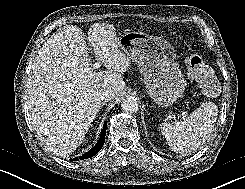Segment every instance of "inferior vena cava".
I'll use <instances>...</instances> for the list:
<instances>
[{"label":"inferior vena cava","mask_w":245,"mask_h":189,"mask_svg":"<svg viewBox=\"0 0 245 189\" xmlns=\"http://www.w3.org/2000/svg\"><path fill=\"white\" fill-rule=\"evenodd\" d=\"M114 97H115V94L111 89L104 90L100 95L101 101H104V102H108L112 100Z\"/></svg>","instance_id":"obj_1"}]
</instances>
